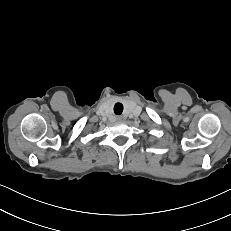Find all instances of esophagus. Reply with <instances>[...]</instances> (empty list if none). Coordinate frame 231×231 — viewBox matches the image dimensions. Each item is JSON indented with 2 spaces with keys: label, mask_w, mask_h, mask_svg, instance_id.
I'll use <instances>...</instances> for the list:
<instances>
[{
  "label": "esophagus",
  "mask_w": 231,
  "mask_h": 231,
  "mask_svg": "<svg viewBox=\"0 0 231 231\" xmlns=\"http://www.w3.org/2000/svg\"><path fill=\"white\" fill-rule=\"evenodd\" d=\"M116 119H117V121H123V117H121V116H118Z\"/></svg>",
  "instance_id": "obj_1"
}]
</instances>
